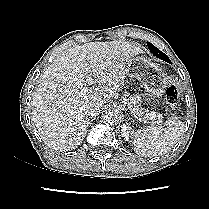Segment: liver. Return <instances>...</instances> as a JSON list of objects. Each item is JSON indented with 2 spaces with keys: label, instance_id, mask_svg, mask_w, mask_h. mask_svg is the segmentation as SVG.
Instances as JSON below:
<instances>
[{
  "label": "liver",
  "instance_id": "liver-1",
  "mask_svg": "<svg viewBox=\"0 0 209 209\" xmlns=\"http://www.w3.org/2000/svg\"><path fill=\"white\" fill-rule=\"evenodd\" d=\"M142 53L126 41L89 42L69 48L41 76L32 101V119L44 143L56 151L75 149L84 140L89 110L119 97L133 56ZM97 82L85 96L83 86Z\"/></svg>",
  "mask_w": 209,
  "mask_h": 209
}]
</instances>
